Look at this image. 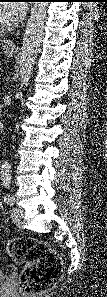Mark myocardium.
<instances>
[{
    "mask_svg": "<svg viewBox=\"0 0 107 297\" xmlns=\"http://www.w3.org/2000/svg\"><path fill=\"white\" fill-rule=\"evenodd\" d=\"M10 26H11V24H9V23H3V22H1L0 32H2L4 30H7Z\"/></svg>",
    "mask_w": 107,
    "mask_h": 297,
    "instance_id": "f54148a6",
    "label": "myocardium"
}]
</instances>
